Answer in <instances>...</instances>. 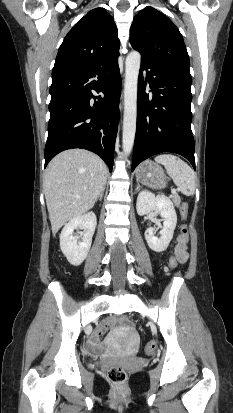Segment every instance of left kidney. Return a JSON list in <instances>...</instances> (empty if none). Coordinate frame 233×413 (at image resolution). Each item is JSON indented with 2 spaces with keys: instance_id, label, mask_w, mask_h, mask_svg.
I'll list each match as a JSON object with an SVG mask.
<instances>
[{
  "instance_id": "obj_1",
  "label": "left kidney",
  "mask_w": 233,
  "mask_h": 413,
  "mask_svg": "<svg viewBox=\"0 0 233 413\" xmlns=\"http://www.w3.org/2000/svg\"><path fill=\"white\" fill-rule=\"evenodd\" d=\"M136 210L140 216L155 211L162 217L163 226L160 238L155 236L154 228H148L145 231V239L153 251H165L173 238L177 224V214L171 200L163 195L155 196L145 190L140 192L137 197Z\"/></svg>"
}]
</instances>
